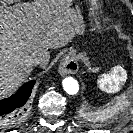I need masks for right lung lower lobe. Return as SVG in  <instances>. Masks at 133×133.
<instances>
[{
	"label": "right lung lower lobe",
	"mask_w": 133,
	"mask_h": 133,
	"mask_svg": "<svg viewBox=\"0 0 133 133\" xmlns=\"http://www.w3.org/2000/svg\"><path fill=\"white\" fill-rule=\"evenodd\" d=\"M35 81H29L9 98L0 100V122L14 125L19 122L28 106V99L31 95Z\"/></svg>",
	"instance_id": "1"
}]
</instances>
